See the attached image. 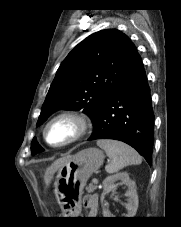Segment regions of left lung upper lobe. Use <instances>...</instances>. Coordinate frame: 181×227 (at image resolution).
I'll use <instances>...</instances> for the list:
<instances>
[{"label": "left lung upper lobe", "mask_w": 181, "mask_h": 227, "mask_svg": "<svg viewBox=\"0 0 181 227\" xmlns=\"http://www.w3.org/2000/svg\"><path fill=\"white\" fill-rule=\"evenodd\" d=\"M137 56L134 44L116 29L102 30L87 37L59 66L37 126L59 109H83L95 124L115 86ZM41 151L43 148L34 137L31 152Z\"/></svg>", "instance_id": "1"}]
</instances>
